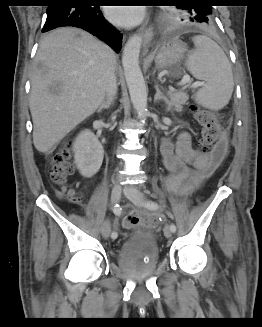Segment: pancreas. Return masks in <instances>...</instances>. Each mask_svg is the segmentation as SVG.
Returning a JSON list of instances; mask_svg holds the SVG:
<instances>
[{
    "label": "pancreas",
    "instance_id": "cf45deb5",
    "mask_svg": "<svg viewBox=\"0 0 262 327\" xmlns=\"http://www.w3.org/2000/svg\"><path fill=\"white\" fill-rule=\"evenodd\" d=\"M168 96L170 98V107L174 108L177 112H181L183 105L188 100V95L184 92L169 91Z\"/></svg>",
    "mask_w": 262,
    "mask_h": 327
}]
</instances>
